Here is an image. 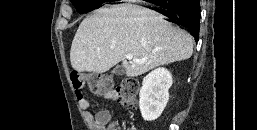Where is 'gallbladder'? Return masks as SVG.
<instances>
[{
	"instance_id": "obj_1",
	"label": "gallbladder",
	"mask_w": 257,
	"mask_h": 130,
	"mask_svg": "<svg viewBox=\"0 0 257 130\" xmlns=\"http://www.w3.org/2000/svg\"><path fill=\"white\" fill-rule=\"evenodd\" d=\"M113 73L117 74V75H123L125 73V69L123 66H116L114 69H113Z\"/></svg>"
}]
</instances>
